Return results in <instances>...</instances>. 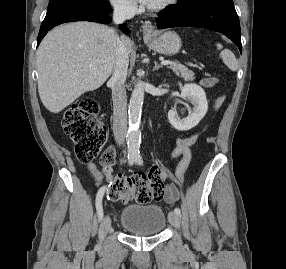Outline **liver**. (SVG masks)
<instances>
[{
  "mask_svg": "<svg viewBox=\"0 0 286 269\" xmlns=\"http://www.w3.org/2000/svg\"><path fill=\"white\" fill-rule=\"evenodd\" d=\"M118 39L112 28L86 21L51 30L37 51L38 92L46 109L59 113L103 85L113 71ZM126 44L130 53L127 37Z\"/></svg>",
  "mask_w": 286,
  "mask_h": 269,
  "instance_id": "obj_1",
  "label": "liver"
}]
</instances>
